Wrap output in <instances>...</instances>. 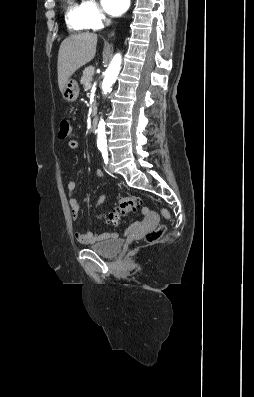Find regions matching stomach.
I'll use <instances>...</instances> for the list:
<instances>
[{
	"label": "stomach",
	"mask_w": 254,
	"mask_h": 397,
	"mask_svg": "<svg viewBox=\"0 0 254 397\" xmlns=\"http://www.w3.org/2000/svg\"><path fill=\"white\" fill-rule=\"evenodd\" d=\"M79 85L75 79H68L62 93V97L68 102H74L79 96Z\"/></svg>",
	"instance_id": "stomach-1"
}]
</instances>
